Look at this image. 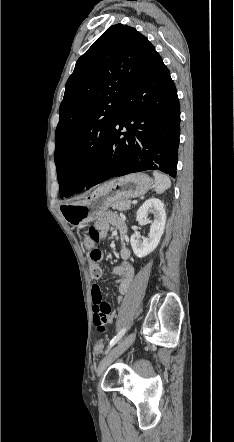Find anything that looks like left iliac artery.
Returning a JSON list of instances; mask_svg holds the SVG:
<instances>
[{"label": "left iliac artery", "instance_id": "left-iliac-artery-1", "mask_svg": "<svg viewBox=\"0 0 234 442\" xmlns=\"http://www.w3.org/2000/svg\"><path fill=\"white\" fill-rule=\"evenodd\" d=\"M126 328H123L111 341L110 344L107 348V350L111 349L114 345H116L121 338L124 336V334L126 333Z\"/></svg>", "mask_w": 234, "mask_h": 442}]
</instances>
